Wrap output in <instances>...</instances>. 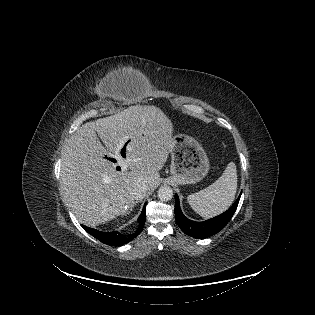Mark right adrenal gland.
I'll return each instance as SVG.
<instances>
[{
  "instance_id": "right-adrenal-gland-1",
  "label": "right adrenal gland",
  "mask_w": 315,
  "mask_h": 315,
  "mask_svg": "<svg viewBox=\"0 0 315 315\" xmlns=\"http://www.w3.org/2000/svg\"><path fill=\"white\" fill-rule=\"evenodd\" d=\"M137 203V201L136 202H133V205H132V207L130 208V211H132L133 210V208H134V205Z\"/></svg>"
}]
</instances>
